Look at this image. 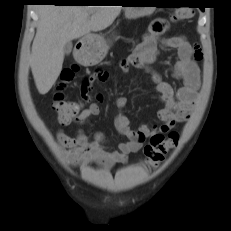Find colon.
I'll list each match as a JSON object with an SVG mask.
<instances>
[{
    "mask_svg": "<svg viewBox=\"0 0 231 231\" xmlns=\"http://www.w3.org/2000/svg\"><path fill=\"white\" fill-rule=\"evenodd\" d=\"M191 10L182 8L176 10L172 15L174 22L186 20L191 17ZM77 71V67L73 66L65 69L61 75L62 84L54 96V109L57 113L58 120L62 124H69L81 112V105L78 102L65 100L63 94L64 84L70 82ZM179 135L177 132H171L167 137L163 134L156 133L150 137L149 143L144 147V155L150 167L159 166L169 150L175 147L178 143Z\"/></svg>",
    "mask_w": 231,
    "mask_h": 231,
    "instance_id": "colon-1",
    "label": "colon"
}]
</instances>
